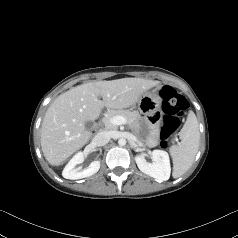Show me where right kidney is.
Returning a JSON list of instances; mask_svg holds the SVG:
<instances>
[{"mask_svg":"<svg viewBox=\"0 0 238 238\" xmlns=\"http://www.w3.org/2000/svg\"><path fill=\"white\" fill-rule=\"evenodd\" d=\"M84 161V154L82 152L76 153L73 158L65 166L62 176L66 179L76 180L85 177H89L98 172L100 168V161H93L89 167L84 170H81L80 167L76 168L77 164H80Z\"/></svg>","mask_w":238,"mask_h":238,"instance_id":"1","label":"right kidney"}]
</instances>
